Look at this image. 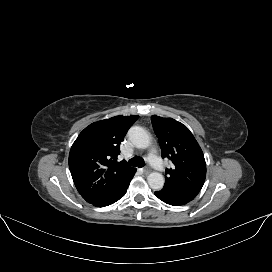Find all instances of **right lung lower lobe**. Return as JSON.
<instances>
[{
    "label": "right lung lower lobe",
    "mask_w": 272,
    "mask_h": 272,
    "mask_svg": "<svg viewBox=\"0 0 272 272\" xmlns=\"http://www.w3.org/2000/svg\"><path fill=\"white\" fill-rule=\"evenodd\" d=\"M136 172V171H135ZM135 172L128 177L125 178L124 183L120 184L114 191L110 192L109 194L105 195L101 199L91 203L96 207H104L113 204L114 202L118 201L120 198H122L127 188L135 174Z\"/></svg>",
    "instance_id": "1"
}]
</instances>
